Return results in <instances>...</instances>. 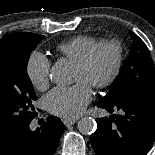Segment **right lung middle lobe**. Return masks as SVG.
<instances>
[{
  "instance_id": "obj_1",
  "label": "right lung middle lobe",
  "mask_w": 155,
  "mask_h": 155,
  "mask_svg": "<svg viewBox=\"0 0 155 155\" xmlns=\"http://www.w3.org/2000/svg\"><path fill=\"white\" fill-rule=\"evenodd\" d=\"M43 38L13 33L0 39V131L22 128L35 115L36 94L26 68L31 51Z\"/></svg>"
}]
</instances>
